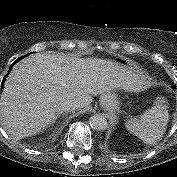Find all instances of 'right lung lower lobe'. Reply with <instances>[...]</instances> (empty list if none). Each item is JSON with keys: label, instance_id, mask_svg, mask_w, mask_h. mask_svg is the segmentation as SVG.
I'll use <instances>...</instances> for the list:
<instances>
[{"label": "right lung lower lobe", "instance_id": "98d812e1", "mask_svg": "<svg viewBox=\"0 0 177 177\" xmlns=\"http://www.w3.org/2000/svg\"><path fill=\"white\" fill-rule=\"evenodd\" d=\"M24 56L18 58L12 65H14L16 62H18L20 59H22ZM12 65L10 66V68L12 67Z\"/></svg>", "mask_w": 177, "mask_h": 177}]
</instances>
